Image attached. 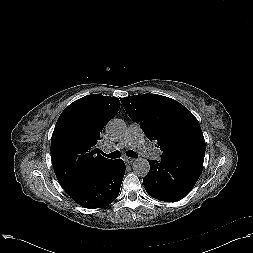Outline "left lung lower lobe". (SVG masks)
<instances>
[{
    "label": "left lung lower lobe",
    "mask_w": 253,
    "mask_h": 253,
    "mask_svg": "<svg viewBox=\"0 0 253 253\" xmlns=\"http://www.w3.org/2000/svg\"><path fill=\"white\" fill-rule=\"evenodd\" d=\"M150 171L143 179L146 192L153 198L174 202L185 197L202 172L203 160L190 156H166L149 160Z\"/></svg>",
    "instance_id": "0a47b994"
}]
</instances>
